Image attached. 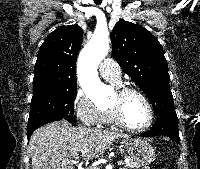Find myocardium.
I'll return each instance as SVG.
<instances>
[{
    "label": "myocardium",
    "instance_id": "obj_1",
    "mask_svg": "<svg viewBox=\"0 0 200 169\" xmlns=\"http://www.w3.org/2000/svg\"><path fill=\"white\" fill-rule=\"evenodd\" d=\"M116 94L118 95L119 98L118 101L115 104L109 106V110L112 114L114 122L121 128L134 133H139L148 130L154 121V109L147 95L140 89L131 86L118 87L116 90ZM129 94H136L139 97H141L148 108L149 118L147 123L142 127L139 128L131 127L124 120L121 101L125 96Z\"/></svg>",
    "mask_w": 200,
    "mask_h": 169
}]
</instances>
